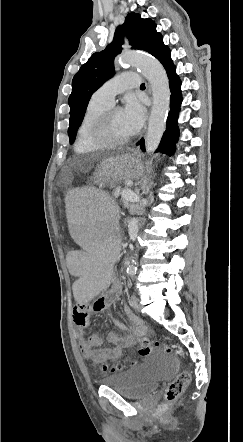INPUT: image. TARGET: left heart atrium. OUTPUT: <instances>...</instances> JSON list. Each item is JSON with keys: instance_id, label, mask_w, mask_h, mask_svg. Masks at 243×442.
Here are the masks:
<instances>
[{"instance_id": "obj_1", "label": "left heart atrium", "mask_w": 243, "mask_h": 442, "mask_svg": "<svg viewBox=\"0 0 243 442\" xmlns=\"http://www.w3.org/2000/svg\"><path fill=\"white\" fill-rule=\"evenodd\" d=\"M122 113L131 133L138 132L145 119V109L142 104L135 99H130L127 101Z\"/></svg>"}]
</instances>
